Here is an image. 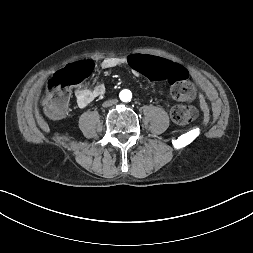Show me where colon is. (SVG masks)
I'll list each match as a JSON object with an SVG mask.
<instances>
[{
    "instance_id": "5ec220e1",
    "label": "colon",
    "mask_w": 253,
    "mask_h": 253,
    "mask_svg": "<svg viewBox=\"0 0 253 253\" xmlns=\"http://www.w3.org/2000/svg\"><path fill=\"white\" fill-rule=\"evenodd\" d=\"M129 68L135 74H143L153 80L168 82L171 86V94L177 101L189 102L195 96V89L187 71L173 60L135 53L129 59ZM91 70L90 62H82L70 65L54 74L48 83L44 100L49 116L60 118L65 115L70 87L83 82ZM170 115L176 124L186 125L196 118L197 110L193 106L177 105L171 109Z\"/></svg>"
}]
</instances>
